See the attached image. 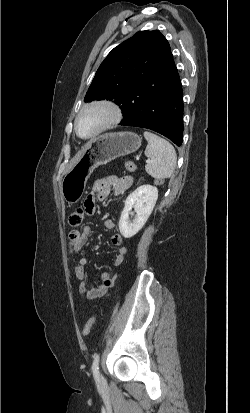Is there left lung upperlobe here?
Segmentation results:
<instances>
[{
    "label": "left lung upper lobe",
    "mask_w": 250,
    "mask_h": 413,
    "mask_svg": "<svg viewBox=\"0 0 250 413\" xmlns=\"http://www.w3.org/2000/svg\"><path fill=\"white\" fill-rule=\"evenodd\" d=\"M171 54L168 41L158 30L139 31L104 59L84 101L114 99L122 109L144 81L166 72Z\"/></svg>",
    "instance_id": "5c2ea615"
}]
</instances>
